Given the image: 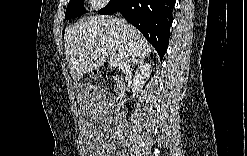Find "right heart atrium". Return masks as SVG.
<instances>
[{
	"instance_id": "d8ad5b80",
	"label": "right heart atrium",
	"mask_w": 247,
	"mask_h": 156,
	"mask_svg": "<svg viewBox=\"0 0 247 156\" xmlns=\"http://www.w3.org/2000/svg\"><path fill=\"white\" fill-rule=\"evenodd\" d=\"M93 5L98 7V8H101V7H104L106 5V2L102 1V0H95V1H93Z\"/></svg>"
}]
</instances>
